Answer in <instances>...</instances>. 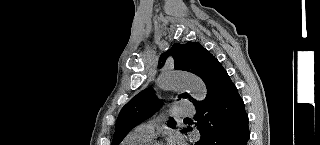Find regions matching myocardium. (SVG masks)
I'll return each mask as SVG.
<instances>
[{
    "mask_svg": "<svg viewBox=\"0 0 320 145\" xmlns=\"http://www.w3.org/2000/svg\"><path fill=\"white\" fill-rule=\"evenodd\" d=\"M146 145H161L160 142L157 141H150L149 143H147Z\"/></svg>",
    "mask_w": 320,
    "mask_h": 145,
    "instance_id": "f54148a6",
    "label": "myocardium"
}]
</instances>
